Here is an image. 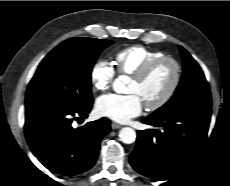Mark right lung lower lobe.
<instances>
[{
	"instance_id": "98d812e1",
	"label": "right lung lower lobe",
	"mask_w": 230,
	"mask_h": 186,
	"mask_svg": "<svg viewBox=\"0 0 230 186\" xmlns=\"http://www.w3.org/2000/svg\"><path fill=\"white\" fill-rule=\"evenodd\" d=\"M92 103L75 109L56 104L26 108L27 142L33 154L50 171L72 176L95 164L100 141L110 132V120L101 118L76 129L71 126L72 117H87Z\"/></svg>"
}]
</instances>
